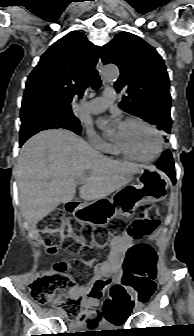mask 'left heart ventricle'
<instances>
[{"instance_id": "b2bd125f", "label": "left heart ventricle", "mask_w": 194, "mask_h": 336, "mask_svg": "<svg viewBox=\"0 0 194 336\" xmlns=\"http://www.w3.org/2000/svg\"><path fill=\"white\" fill-rule=\"evenodd\" d=\"M114 140L122 144L130 152L150 157L156 150V138L145 126L138 123L123 125L114 135Z\"/></svg>"}]
</instances>
